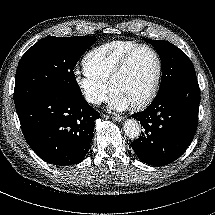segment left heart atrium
I'll return each instance as SVG.
<instances>
[{
	"instance_id": "left-heart-atrium-1",
	"label": "left heart atrium",
	"mask_w": 215,
	"mask_h": 215,
	"mask_svg": "<svg viewBox=\"0 0 215 215\" xmlns=\"http://www.w3.org/2000/svg\"><path fill=\"white\" fill-rule=\"evenodd\" d=\"M108 103L109 108L115 111H123L130 106V103L126 98L115 92H111Z\"/></svg>"
}]
</instances>
